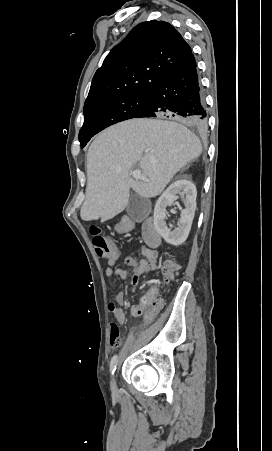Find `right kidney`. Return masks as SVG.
<instances>
[{
  "label": "right kidney",
  "instance_id": "right-kidney-1",
  "mask_svg": "<svg viewBox=\"0 0 272 451\" xmlns=\"http://www.w3.org/2000/svg\"><path fill=\"white\" fill-rule=\"evenodd\" d=\"M177 194L183 198L185 210H182L181 218L177 222L179 227H175L171 231L166 224L168 216L166 208L167 206H174V202L178 198ZM196 196V186L192 182H189V180H177L157 200L154 208V226L167 243L180 245L187 239L195 216Z\"/></svg>",
  "mask_w": 272,
  "mask_h": 451
}]
</instances>
